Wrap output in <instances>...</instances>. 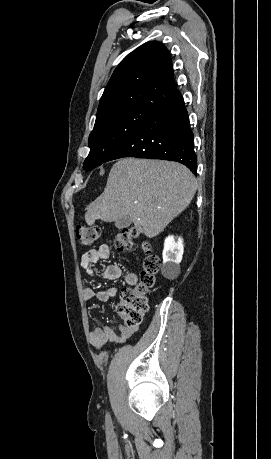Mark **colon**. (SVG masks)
Returning a JSON list of instances; mask_svg holds the SVG:
<instances>
[{
    "label": "colon",
    "instance_id": "5ec220e1",
    "mask_svg": "<svg viewBox=\"0 0 271 459\" xmlns=\"http://www.w3.org/2000/svg\"><path fill=\"white\" fill-rule=\"evenodd\" d=\"M157 3L160 0H147ZM101 230L97 226L80 225L76 228V237L82 246L89 247L100 237ZM138 232L134 227L121 230L115 236V246L119 251L132 252L136 247ZM142 249L146 253L143 268L139 274V282L135 286L125 287L120 293L118 312L129 327L138 326L143 321L149 309V289L154 285L155 276L160 268V259L155 255L149 244L143 243Z\"/></svg>",
    "mask_w": 271,
    "mask_h": 459
}]
</instances>
